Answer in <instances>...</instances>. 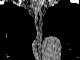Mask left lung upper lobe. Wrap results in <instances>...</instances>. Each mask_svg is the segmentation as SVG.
Returning a JSON list of instances; mask_svg holds the SVG:
<instances>
[{"mask_svg": "<svg viewBox=\"0 0 80 60\" xmlns=\"http://www.w3.org/2000/svg\"><path fill=\"white\" fill-rule=\"evenodd\" d=\"M76 7L65 0L50 8L43 20V33L45 36L55 35L62 42L63 54H67L77 48L80 42L78 32L73 27Z\"/></svg>", "mask_w": 80, "mask_h": 60, "instance_id": "5c2ea615", "label": "left lung upper lobe"}]
</instances>
